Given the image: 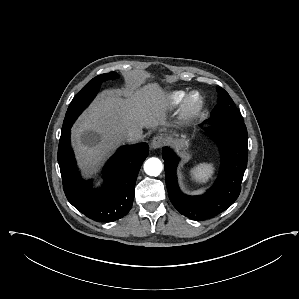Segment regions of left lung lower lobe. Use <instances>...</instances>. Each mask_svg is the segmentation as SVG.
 Instances as JSON below:
<instances>
[{
  "label": "left lung lower lobe",
  "instance_id": "1",
  "mask_svg": "<svg viewBox=\"0 0 299 299\" xmlns=\"http://www.w3.org/2000/svg\"><path fill=\"white\" fill-rule=\"evenodd\" d=\"M209 134L221 149V171L214 185L200 196L183 194L177 185L179 159L168 147L163 148L165 180L169 198L184 216L203 221L225 211L238 198L247 167L248 134L244 120L228 116H211Z\"/></svg>",
  "mask_w": 299,
  "mask_h": 299
}]
</instances>
